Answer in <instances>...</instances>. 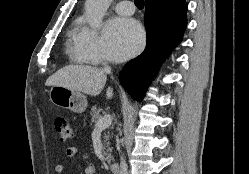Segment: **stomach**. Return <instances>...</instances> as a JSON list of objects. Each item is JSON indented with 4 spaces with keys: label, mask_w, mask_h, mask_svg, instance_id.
<instances>
[{
    "label": "stomach",
    "mask_w": 249,
    "mask_h": 174,
    "mask_svg": "<svg viewBox=\"0 0 249 174\" xmlns=\"http://www.w3.org/2000/svg\"><path fill=\"white\" fill-rule=\"evenodd\" d=\"M50 101L56 106L70 109L76 113H82L87 107L85 95L76 90L63 86H52L49 91Z\"/></svg>",
    "instance_id": "obj_1"
}]
</instances>
